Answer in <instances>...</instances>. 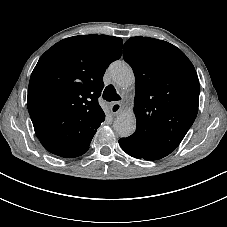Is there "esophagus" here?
Listing matches in <instances>:
<instances>
[{
	"label": "esophagus",
	"instance_id": "1",
	"mask_svg": "<svg viewBox=\"0 0 227 227\" xmlns=\"http://www.w3.org/2000/svg\"><path fill=\"white\" fill-rule=\"evenodd\" d=\"M122 109V104L117 102V103H113L111 105V112L112 114H118Z\"/></svg>",
	"mask_w": 227,
	"mask_h": 227
}]
</instances>
